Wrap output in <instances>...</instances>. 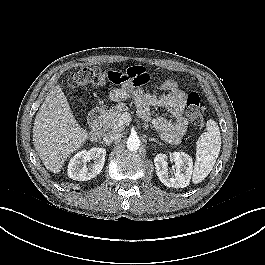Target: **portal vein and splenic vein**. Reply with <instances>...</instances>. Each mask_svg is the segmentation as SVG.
<instances>
[{
  "label": "portal vein and splenic vein",
  "instance_id": "1",
  "mask_svg": "<svg viewBox=\"0 0 265 265\" xmlns=\"http://www.w3.org/2000/svg\"><path fill=\"white\" fill-rule=\"evenodd\" d=\"M130 121V115L125 113L123 115H121L120 119H119V125H123L126 122ZM145 129H148V126L145 125Z\"/></svg>",
  "mask_w": 265,
  "mask_h": 265
}]
</instances>
